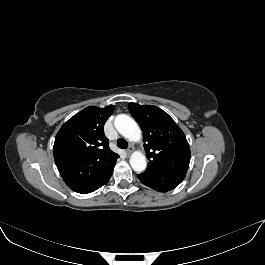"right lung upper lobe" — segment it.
I'll list each match as a JSON object with an SVG mask.
<instances>
[{"mask_svg":"<svg viewBox=\"0 0 265 265\" xmlns=\"http://www.w3.org/2000/svg\"><path fill=\"white\" fill-rule=\"evenodd\" d=\"M113 111V105L89 106L58 131L53 146L54 160L73 191L90 185L114 168L119 155L109 148L104 134V124Z\"/></svg>","mask_w":265,"mask_h":265,"instance_id":"obj_1","label":"right lung upper lobe"}]
</instances>
